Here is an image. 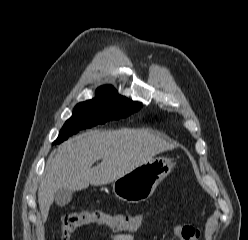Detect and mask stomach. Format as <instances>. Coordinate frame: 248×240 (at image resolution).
<instances>
[{"instance_id": "stomach-1", "label": "stomach", "mask_w": 248, "mask_h": 240, "mask_svg": "<svg viewBox=\"0 0 248 240\" xmlns=\"http://www.w3.org/2000/svg\"><path fill=\"white\" fill-rule=\"evenodd\" d=\"M174 164L167 157H156L113 182V193L127 203L148 199L157 185L172 171Z\"/></svg>"}]
</instances>
